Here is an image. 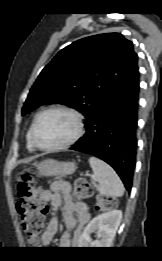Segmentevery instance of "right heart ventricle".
Listing matches in <instances>:
<instances>
[{"label":"right heart ventricle","mask_w":162,"mask_h":261,"mask_svg":"<svg viewBox=\"0 0 162 261\" xmlns=\"http://www.w3.org/2000/svg\"><path fill=\"white\" fill-rule=\"evenodd\" d=\"M30 130H31V127L29 128L27 135H26V145H27V149L29 151H34V147L32 146L31 138H30Z\"/></svg>","instance_id":"1"}]
</instances>
